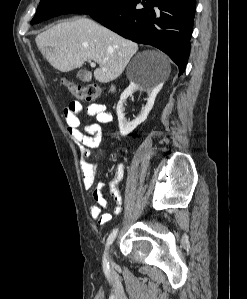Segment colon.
Wrapping results in <instances>:
<instances>
[{
  "label": "colon",
  "mask_w": 247,
  "mask_h": 299,
  "mask_svg": "<svg viewBox=\"0 0 247 299\" xmlns=\"http://www.w3.org/2000/svg\"><path fill=\"white\" fill-rule=\"evenodd\" d=\"M63 84L71 95L80 100L92 101L100 97L102 93L97 84L81 85L68 79H64Z\"/></svg>",
  "instance_id": "colon-1"
}]
</instances>
